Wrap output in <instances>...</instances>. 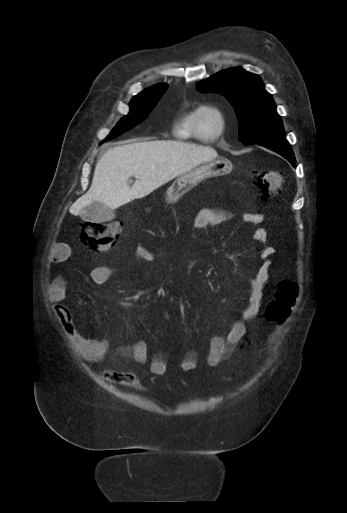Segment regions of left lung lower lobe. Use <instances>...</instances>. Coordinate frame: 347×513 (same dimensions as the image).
Returning a JSON list of instances; mask_svg holds the SVG:
<instances>
[{"label": "left lung lower lobe", "mask_w": 347, "mask_h": 513, "mask_svg": "<svg viewBox=\"0 0 347 513\" xmlns=\"http://www.w3.org/2000/svg\"><path fill=\"white\" fill-rule=\"evenodd\" d=\"M258 145H261L263 147H266L270 150L277 152L278 154H280L284 158H286L292 164L293 167L296 166L293 151L290 148V145L287 140H285V139L270 140V141L259 143Z\"/></svg>", "instance_id": "1"}]
</instances>
